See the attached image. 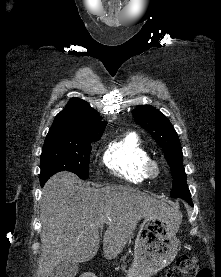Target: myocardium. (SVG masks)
Segmentation results:
<instances>
[{
  "mask_svg": "<svg viewBox=\"0 0 221 277\" xmlns=\"http://www.w3.org/2000/svg\"><path fill=\"white\" fill-rule=\"evenodd\" d=\"M145 172L149 178H156L161 173L159 162L153 158H149L144 165Z\"/></svg>",
  "mask_w": 221,
  "mask_h": 277,
  "instance_id": "1",
  "label": "myocardium"
}]
</instances>
